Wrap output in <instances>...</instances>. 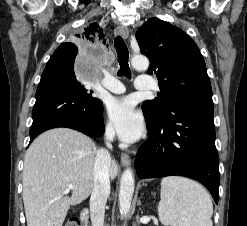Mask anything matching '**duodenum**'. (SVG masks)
Returning a JSON list of instances; mask_svg holds the SVG:
<instances>
[{
  "instance_id": "duodenum-1",
  "label": "duodenum",
  "mask_w": 247,
  "mask_h": 226,
  "mask_svg": "<svg viewBox=\"0 0 247 226\" xmlns=\"http://www.w3.org/2000/svg\"><path fill=\"white\" fill-rule=\"evenodd\" d=\"M80 221L81 226H88L89 222V210L87 208H83L80 212Z\"/></svg>"
}]
</instances>
